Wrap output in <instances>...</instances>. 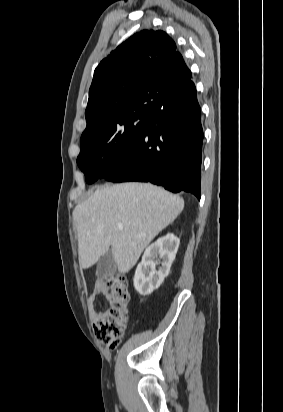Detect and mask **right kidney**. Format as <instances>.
I'll return each instance as SVG.
<instances>
[{"label":"right kidney","instance_id":"ca27d5eb","mask_svg":"<svg viewBox=\"0 0 283 412\" xmlns=\"http://www.w3.org/2000/svg\"><path fill=\"white\" fill-rule=\"evenodd\" d=\"M179 243V239L169 233L146 248L134 275V287L140 295H150L162 284L169 274Z\"/></svg>","mask_w":283,"mask_h":412}]
</instances>
